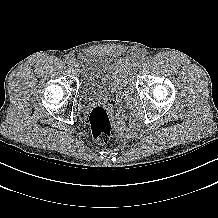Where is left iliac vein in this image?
<instances>
[{
  "instance_id": "1",
  "label": "left iliac vein",
  "mask_w": 218,
  "mask_h": 218,
  "mask_svg": "<svg viewBox=\"0 0 218 218\" xmlns=\"http://www.w3.org/2000/svg\"><path fill=\"white\" fill-rule=\"evenodd\" d=\"M139 63H142V62H138L137 64H133V69H138Z\"/></svg>"
}]
</instances>
